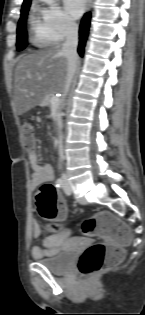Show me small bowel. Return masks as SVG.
I'll list each match as a JSON object with an SVG mask.
<instances>
[{"label": "small bowel", "mask_w": 145, "mask_h": 315, "mask_svg": "<svg viewBox=\"0 0 145 315\" xmlns=\"http://www.w3.org/2000/svg\"><path fill=\"white\" fill-rule=\"evenodd\" d=\"M28 160L32 168L31 186L37 187L39 184L51 181L53 179V168L49 163L40 164L39 158L34 151H30L28 154ZM66 230L57 234H52L44 239L42 245L32 246V256L35 259H41L44 257H51L57 254L62 247V241L66 235ZM33 236L40 235V228L38 225L33 227Z\"/></svg>", "instance_id": "c3829d8e"}]
</instances>
